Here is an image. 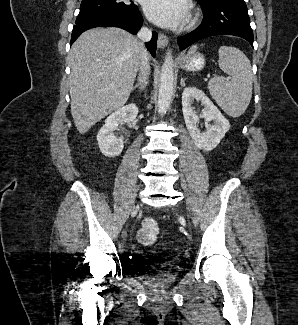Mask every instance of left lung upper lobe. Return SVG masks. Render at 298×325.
I'll return each mask as SVG.
<instances>
[{"mask_svg":"<svg viewBox=\"0 0 298 325\" xmlns=\"http://www.w3.org/2000/svg\"><path fill=\"white\" fill-rule=\"evenodd\" d=\"M201 5H202V7L203 6H208V5H210V4H212V3H214V2H217V1H219V0H197Z\"/></svg>","mask_w":298,"mask_h":325,"instance_id":"left-lung-upper-lobe-1","label":"left lung upper lobe"}]
</instances>
